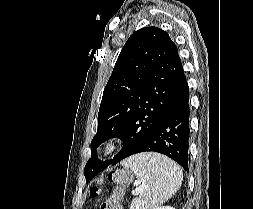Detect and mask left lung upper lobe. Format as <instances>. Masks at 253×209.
I'll use <instances>...</instances> for the list:
<instances>
[{"label": "left lung upper lobe", "mask_w": 253, "mask_h": 209, "mask_svg": "<svg viewBox=\"0 0 253 209\" xmlns=\"http://www.w3.org/2000/svg\"><path fill=\"white\" fill-rule=\"evenodd\" d=\"M182 74L167 32L147 27L129 37L103 92L92 157L84 168L86 182L141 148L168 110ZM113 137L124 141L123 148L112 160L100 162L95 148Z\"/></svg>", "instance_id": "obj_1"}]
</instances>
